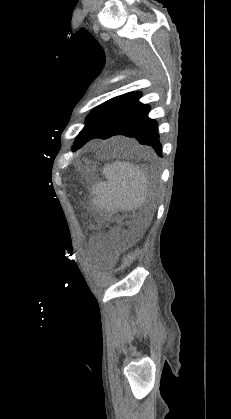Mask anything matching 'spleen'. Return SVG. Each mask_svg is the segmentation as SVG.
Here are the masks:
<instances>
[{"mask_svg": "<svg viewBox=\"0 0 231 419\" xmlns=\"http://www.w3.org/2000/svg\"><path fill=\"white\" fill-rule=\"evenodd\" d=\"M106 182L94 188V204L107 212L133 211L146 203L149 182L145 171L129 162L107 164L103 169Z\"/></svg>", "mask_w": 231, "mask_h": 419, "instance_id": "spleen-1", "label": "spleen"}]
</instances>
